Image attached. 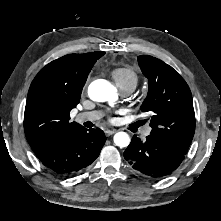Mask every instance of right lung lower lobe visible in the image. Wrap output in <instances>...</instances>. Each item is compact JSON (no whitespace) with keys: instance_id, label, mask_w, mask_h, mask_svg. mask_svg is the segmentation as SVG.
Wrapping results in <instances>:
<instances>
[{"instance_id":"98d812e1","label":"right lung lower lobe","mask_w":221,"mask_h":221,"mask_svg":"<svg viewBox=\"0 0 221 221\" xmlns=\"http://www.w3.org/2000/svg\"><path fill=\"white\" fill-rule=\"evenodd\" d=\"M105 141L102 130L83 127L68 134L39 160L56 175L72 176L93 163Z\"/></svg>"}]
</instances>
